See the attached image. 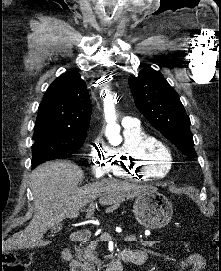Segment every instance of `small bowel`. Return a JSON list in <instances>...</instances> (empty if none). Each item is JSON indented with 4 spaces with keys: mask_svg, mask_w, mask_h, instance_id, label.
Returning a JSON list of instances; mask_svg holds the SVG:
<instances>
[{
    "mask_svg": "<svg viewBox=\"0 0 221 271\" xmlns=\"http://www.w3.org/2000/svg\"><path fill=\"white\" fill-rule=\"evenodd\" d=\"M127 251L131 254L132 257H137L140 255L146 256V253L142 250H129ZM205 267V260L204 258L198 254L193 253L189 255L188 257L180 260L175 265V270L177 271H202Z\"/></svg>",
    "mask_w": 221,
    "mask_h": 271,
    "instance_id": "obj_1",
    "label": "small bowel"
}]
</instances>
